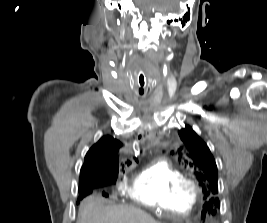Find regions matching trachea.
<instances>
[{"label":"trachea","mask_w":267,"mask_h":223,"mask_svg":"<svg viewBox=\"0 0 267 223\" xmlns=\"http://www.w3.org/2000/svg\"><path fill=\"white\" fill-rule=\"evenodd\" d=\"M137 83H138V86L145 87L146 80H145V75L143 73L139 74V77L137 79Z\"/></svg>","instance_id":"1"}]
</instances>
